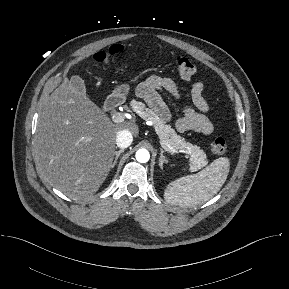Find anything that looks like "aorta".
<instances>
[{
    "mask_svg": "<svg viewBox=\"0 0 289 289\" xmlns=\"http://www.w3.org/2000/svg\"><path fill=\"white\" fill-rule=\"evenodd\" d=\"M150 159V153L147 149H139L136 152V160L140 163H146Z\"/></svg>",
    "mask_w": 289,
    "mask_h": 289,
    "instance_id": "obj_1",
    "label": "aorta"
}]
</instances>
